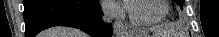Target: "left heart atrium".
I'll list each match as a JSON object with an SVG mask.
<instances>
[{"label": "left heart atrium", "mask_w": 219, "mask_h": 37, "mask_svg": "<svg viewBox=\"0 0 219 37\" xmlns=\"http://www.w3.org/2000/svg\"><path fill=\"white\" fill-rule=\"evenodd\" d=\"M123 1H124V3L127 4V5L130 3V1H128V0H123Z\"/></svg>", "instance_id": "left-heart-atrium-1"}]
</instances>
